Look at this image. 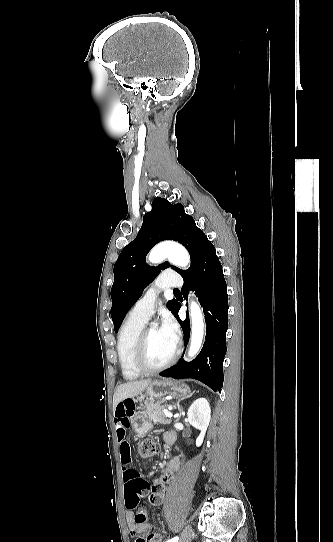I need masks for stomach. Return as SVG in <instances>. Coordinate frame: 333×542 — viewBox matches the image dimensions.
Listing matches in <instances>:
<instances>
[{"label":"stomach","mask_w":333,"mask_h":542,"mask_svg":"<svg viewBox=\"0 0 333 542\" xmlns=\"http://www.w3.org/2000/svg\"><path fill=\"white\" fill-rule=\"evenodd\" d=\"M190 394V388L184 382H175V380H154L149 384L148 388L144 390V394L141 396H148V398H156L160 400L163 396H187ZM121 400H130L127 397L122 398ZM141 418H136L133 420L131 426L133 430L132 438L135 441L143 440L144 437L148 436V430H151L152 424L149 422H138Z\"/></svg>","instance_id":"stomach-1"}]
</instances>
